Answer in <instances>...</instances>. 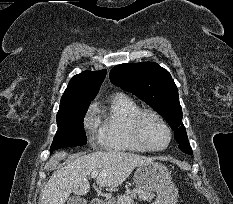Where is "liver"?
I'll return each instance as SVG.
<instances>
[{"mask_svg":"<svg viewBox=\"0 0 233 204\" xmlns=\"http://www.w3.org/2000/svg\"><path fill=\"white\" fill-rule=\"evenodd\" d=\"M66 155L65 152L55 153L51 163L58 164ZM152 161L148 157L120 151H98L77 157L52 174L40 194L39 204H65L72 192L85 195L90 189L88 177L93 171H100L96 179L100 187L115 190L135 167Z\"/></svg>","mask_w":233,"mask_h":204,"instance_id":"6515ba94","label":"liver"}]
</instances>
